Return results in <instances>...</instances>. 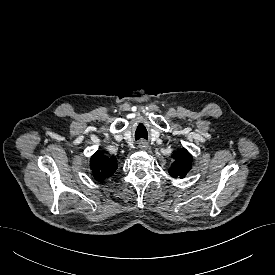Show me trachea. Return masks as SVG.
Segmentation results:
<instances>
[{
    "instance_id": "3493384b",
    "label": "trachea",
    "mask_w": 275,
    "mask_h": 275,
    "mask_svg": "<svg viewBox=\"0 0 275 275\" xmlns=\"http://www.w3.org/2000/svg\"><path fill=\"white\" fill-rule=\"evenodd\" d=\"M140 138L148 139V134L144 127H138L135 132V139L138 140Z\"/></svg>"
}]
</instances>
